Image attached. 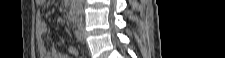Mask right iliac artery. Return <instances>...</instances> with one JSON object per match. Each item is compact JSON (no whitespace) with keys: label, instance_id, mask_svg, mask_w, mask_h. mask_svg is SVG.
<instances>
[{"label":"right iliac artery","instance_id":"right-iliac-artery-1","mask_svg":"<svg viewBox=\"0 0 225 58\" xmlns=\"http://www.w3.org/2000/svg\"><path fill=\"white\" fill-rule=\"evenodd\" d=\"M72 23L73 24H76L77 23V17L75 15H73V17H72Z\"/></svg>","mask_w":225,"mask_h":58}]
</instances>
